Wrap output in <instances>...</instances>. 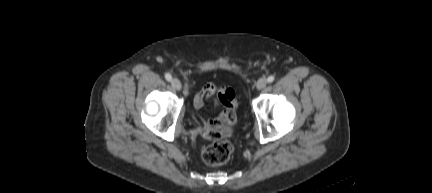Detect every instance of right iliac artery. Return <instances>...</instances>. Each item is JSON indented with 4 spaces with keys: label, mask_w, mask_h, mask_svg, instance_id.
<instances>
[{
    "label": "right iliac artery",
    "mask_w": 432,
    "mask_h": 193,
    "mask_svg": "<svg viewBox=\"0 0 432 193\" xmlns=\"http://www.w3.org/2000/svg\"><path fill=\"white\" fill-rule=\"evenodd\" d=\"M165 78L169 82L172 80V76L169 73L165 74Z\"/></svg>",
    "instance_id": "82829eb1"
}]
</instances>
